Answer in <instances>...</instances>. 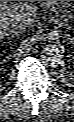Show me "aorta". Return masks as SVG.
<instances>
[{
    "mask_svg": "<svg viewBox=\"0 0 74 122\" xmlns=\"http://www.w3.org/2000/svg\"><path fill=\"white\" fill-rule=\"evenodd\" d=\"M40 58L46 65L57 67L63 62L64 56L56 45L44 44L40 49Z\"/></svg>",
    "mask_w": 74,
    "mask_h": 122,
    "instance_id": "762f6f07",
    "label": "aorta"
}]
</instances>
